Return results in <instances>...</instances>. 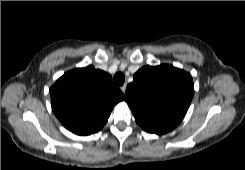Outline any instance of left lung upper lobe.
I'll list each match as a JSON object with an SVG mask.
<instances>
[{
  "mask_svg": "<svg viewBox=\"0 0 245 170\" xmlns=\"http://www.w3.org/2000/svg\"><path fill=\"white\" fill-rule=\"evenodd\" d=\"M128 84L125 101L147 132L164 134L179 125L191 103L192 76L174 66H145Z\"/></svg>",
  "mask_w": 245,
  "mask_h": 170,
  "instance_id": "1",
  "label": "left lung upper lobe"
}]
</instances>
